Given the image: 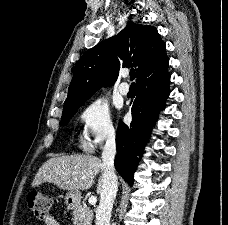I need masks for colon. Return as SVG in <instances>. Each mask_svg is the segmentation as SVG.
Here are the masks:
<instances>
[{
  "mask_svg": "<svg viewBox=\"0 0 228 225\" xmlns=\"http://www.w3.org/2000/svg\"><path fill=\"white\" fill-rule=\"evenodd\" d=\"M26 200L33 214L39 219H43L52 207L50 197L38 191L28 193Z\"/></svg>",
  "mask_w": 228,
  "mask_h": 225,
  "instance_id": "colon-1",
  "label": "colon"
}]
</instances>
